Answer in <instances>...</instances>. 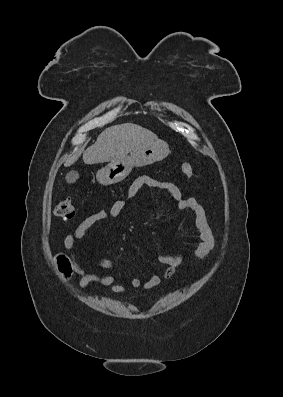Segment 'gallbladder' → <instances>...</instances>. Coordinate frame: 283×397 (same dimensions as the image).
Segmentation results:
<instances>
[{
  "label": "gallbladder",
  "mask_w": 283,
  "mask_h": 397,
  "mask_svg": "<svg viewBox=\"0 0 283 397\" xmlns=\"http://www.w3.org/2000/svg\"><path fill=\"white\" fill-rule=\"evenodd\" d=\"M78 178H79V175L75 171H71V172L67 173L66 177H65L67 183H74Z\"/></svg>",
  "instance_id": "1"
}]
</instances>
